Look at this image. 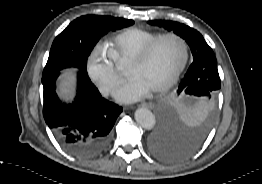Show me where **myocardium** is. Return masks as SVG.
I'll return each instance as SVG.
<instances>
[{
    "instance_id": "f54148a6",
    "label": "myocardium",
    "mask_w": 262,
    "mask_h": 184,
    "mask_svg": "<svg viewBox=\"0 0 262 184\" xmlns=\"http://www.w3.org/2000/svg\"><path fill=\"white\" fill-rule=\"evenodd\" d=\"M168 38H173V39H176V40L181 42V44L183 45V48H184V58H183L181 65L176 70V72L170 77V79L167 80L164 84L150 89L152 92H156V93L164 92V91L168 90L169 88H171L178 81V79L182 75V73L185 70L187 63L189 61V45H188L187 41L182 36L175 34V33H167V34L160 35L159 37L154 39L152 42L147 44L129 62V65H141V64L145 63L149 59V57L151 56V54L154 51V49L156 48V46L160 42H162L163 40L168 39Z\"/></svg>"
}]
</instances>
